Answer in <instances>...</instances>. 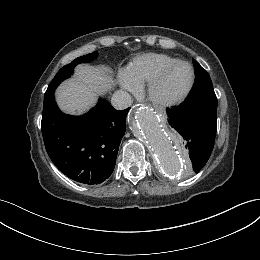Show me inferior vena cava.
Wrapping results in <instances>:
<instances>
[{
	"label": "inferior vena cava",
	"instance_id": "obj_1",
	"mask_svg": "<svg viewBox=\"0 0 260 260\" xmlns=\"http://www.w3.org/2000/svg\"><path fill=\"white\" fill-rule=\"evenodd\" d=\"M132 102V96L123 90L115 91L111 98V105L117 110L126 109L132 104Z\"/></svg>",
	"mask_w": 260,
	"mask_h": 260
}]
</instances>
